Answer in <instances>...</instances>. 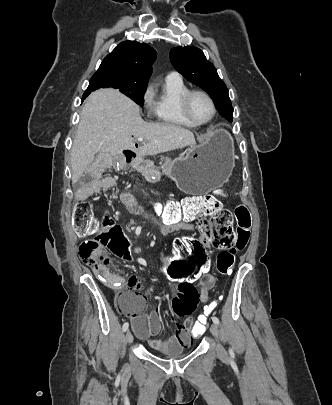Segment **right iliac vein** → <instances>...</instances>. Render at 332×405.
Wrapping results in <instances>:
<instances>
[{"label":"right iliac vein","mask_w":332,"mask_h":405,"mask_svg":"<svg viewBox=\"0 0 332 405\" xmlns=\"http://www.w3.org/2000/svg\"><path fill=\"white\" fill-rule=\"evenodd\" d=\"M125 339H126V342H127L128 344H131V343L133 342V340H134L133 335H132V333H131L129 330H128L127 333H126Z\"/></svg>","instance_id":"obj_1"}]
</instances>
